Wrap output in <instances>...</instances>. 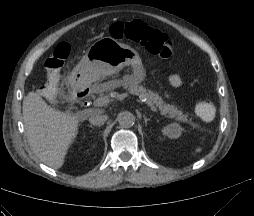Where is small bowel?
Wrapping results in <instances>:
<instances>
[{"mask_svg":"<svg viewBox=\"0 0 254 216\" xmlns=\"http://www.w3.org/2000/svg\"><path fill=\"white\" fill-rule=\"evenodd\" d=\"M169 53L170 54H175L176 53V48L175 47H170L169 48ZM168 81L169 83L173 86V87H181L183 86V81L181 80V78L179 77L178 74H171L168 77Z\"/></svg>","mask_w":254,"mask_h":216,"instance_id":"obj_1","label":"small bowel"}]
</instances>
